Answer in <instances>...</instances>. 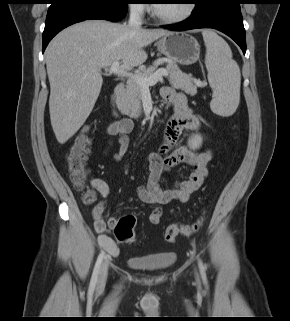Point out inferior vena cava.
I'll return each mask as SVG.
<instances>
[{
	"label": "inferior vena cava",
	"instance_id": "1",
	"mask_svg": "<svg viewBox=\"0 0 290 321\" xmlns=\"http://www.w3.org/2000/svg\"><path fill=\"white\" fill-rule=\"evenodd\" d=\"M143 8L141 6H132L130 9L129 27L132 29H139L142 24Z\"/></svg>",
	"mask_w": 290,
	"mask_h": 321
}]
</instances>
